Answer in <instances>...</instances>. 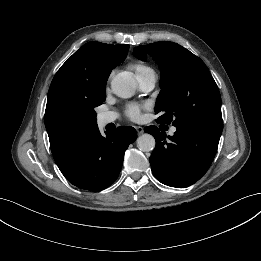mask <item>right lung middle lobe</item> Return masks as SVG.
I'll return each instance as SVG.
<instances>
[{"instance_id": "right-lung-middle-lobe-1", "label": "right lung middle lobe", "mask_w": 261, "mask_h": 261, "mask_svg": "<svg viewBox=\"0 0 261 261\" xmlns=\"http://www.w3.org/2000/svg\"><path fill=\"white\" fill-rule=\"evenodd\" d=\"M106 98V91L102 93L99 104L91 107L86 112L70 116L66 123L65 128L69 133H76L85 127L92 126L97 127L96 112L94 108L101 105Z\"/></svg>"}]
</instances>
